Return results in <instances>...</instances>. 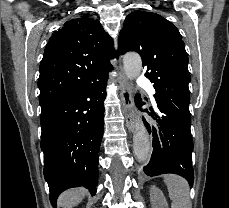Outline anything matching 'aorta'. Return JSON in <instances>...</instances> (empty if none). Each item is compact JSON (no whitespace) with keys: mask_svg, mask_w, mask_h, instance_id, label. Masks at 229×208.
Here are the masks:
<instances>
[{"mask_svg":"<svg viewBox=\"0 0 229 208\" xmlns=\"http://www.w3.org/2000/svg\"><path fill=\"white\" fill-rule=\"evenodd\" d=\"M123 68L127 78L135 79L142 70V61L138 54H127L123 58ZM134 155L139 162H145L150 156V142L146 128L141 120L135 123V134L133 137Z\"/></svg>","mask_w":229,"mask_h":208,"instance_id":"obj_1","label":"aorta"}]
</instances>
